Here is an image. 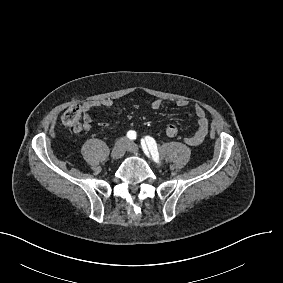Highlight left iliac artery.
I'll list each match as a JSON object with an SVG mask.
<instances>
[{
    "mask_svg": "<svg viewBox=\"0 0 283 283\" xmlns=\"http://www.w3.org/2000/svg\"><path fill=\"white\" fill-rule=\"evenodd\" d=\"M141 146H142L144 153L147 156H149V152H150L154 161L159 162L157 144H156V141L152 137L146 136L145 139H142Z\"/></svg>",
    "mask_w": 283,
    "mask_h": 283,
    "instance_id": "1",
    "label": "left iliac artery"
}]
</instances>
